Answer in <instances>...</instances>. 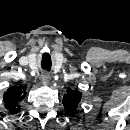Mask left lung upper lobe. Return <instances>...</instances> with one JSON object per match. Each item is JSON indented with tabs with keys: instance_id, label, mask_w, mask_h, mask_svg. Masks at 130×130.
Listing matches in <instances>:
<instances>
[{
	"instance_id": "5c2ea615",
	"label": "left lung upper lobe",
	"mask_w": 130,
	"mask_h": 130,
	"mask_svg": "<svg viewBox=\"0 0 130 130\" xmlns=\"http://www.w3.org/2000/svg\"><path fill=\"white\" fill-rule=\"evenodd\" d=\"M82 94L77 89H67V93L63 97V105L65 110L70 114L75 113L81 101Z\"/></svg>"
}]
</instances>
